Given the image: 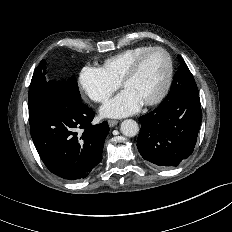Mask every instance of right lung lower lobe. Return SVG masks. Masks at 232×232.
<instances>
[{
  "instance_id": "98d812e1",
  "label": "right lung lower lobe",
  "mask_w": 232,
  "mask_h": 232,
  "mask_svg": "<svg viewBox=\"0 0 232 232\" xmlns=\"http://www.w3.org/2000/svg\"><path fill=\"white\" fill-rule=\"evenodd\" d=\"M30 123V133L46 167L67 180L89 176L102 160L106 121L93 125L95 113L63 83L56 82Z\"/></svg>"
}]
</instances>
